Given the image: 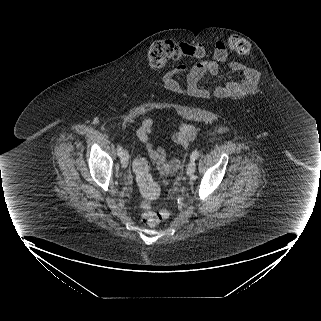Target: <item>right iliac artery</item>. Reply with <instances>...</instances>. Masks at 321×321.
<instances>
[{
    "instance_id": "right-iliac-artery-1",
    "label": "right iliac artery",
    "mask_w": 321,
    "mask_h": 321,
    "mask_svg": "<svg viewBox=\"0 0 321 321\" xmlns=\"http://www.w3.org/2000/svg\"><path fill=\"white\" fill-rule=\"evenodd\" d=\"M117 154H118V156H122V154H123V150H122V147L121 146H117Z\"/></svg>"
}]
</instances>
